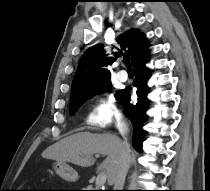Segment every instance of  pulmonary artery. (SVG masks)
<instances>
[{
  "label": "pulmonary artery",
  "mask_w": 210,
  "mask_h": 191,
  "mask_svg": "<svg viewBox=\"0 0 210 191\" xmlns=\"http://www.w3.org/2000/svg\"><path fill=\"white\" fill-rule=\"evenodd\" d=\"M118 79L122 82H125L128 79V74L125 71H119L118 72Z\"/></svg>",
  "instance_id": "e3ab8cb5"
}]
</instances>
